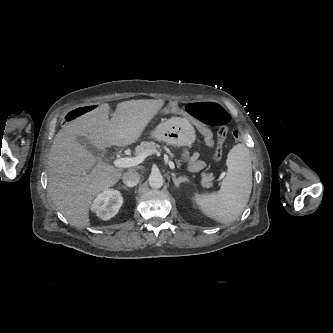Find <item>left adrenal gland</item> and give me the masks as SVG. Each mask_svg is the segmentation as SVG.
<instances>
[{"label":"left adrenal gland","mask_w":333,"mask_h":333,"mask_svg":"<svg viewBox=\"0 0 333 333\" xmlns=\"http://www.w3.org/2000/svg\"><path fill=\"white\" fill-rule=\"evenodd\" d=\"M172 180L176 187H179L180 184L183 182H189L188 178H186L185 176H180L179 178H176L175 174L172 175Z\"/></svg>","instance_id":"1"}]
</instances>
